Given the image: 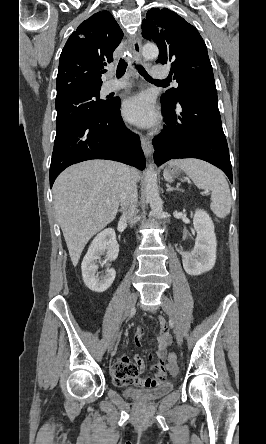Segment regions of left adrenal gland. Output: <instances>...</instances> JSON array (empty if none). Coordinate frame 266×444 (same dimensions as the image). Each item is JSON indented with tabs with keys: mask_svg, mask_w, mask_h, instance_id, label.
<instances>
[{
	"mask_svg": "<svg viewBox=\"0 0 266 444\" xmlns=\"http://www.w3.org/2000/svg\"><path fill=\"white\" fill-rule=\"evenodd\" d=\"M166 187H167V192H169V191H174V190H179L178 188H173V187H171L169 184H166Z\"/></svg>",
	"mask_w": 266,
	"mask_h": 444,
	"instance_id": "obj_1",
	"label": "left adrenal gland"
}]
</instances>
